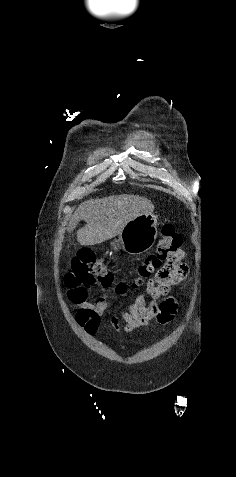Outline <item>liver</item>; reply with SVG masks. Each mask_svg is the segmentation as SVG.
<instances>
[{
	"mask_svg": "<svg viewBox=\"0 0 236 477\" xmlns=\"http://www.w3.org/2000/svg\"><path fill=\"white\" fill-rule=\"evenodd\" d=\"M153 210L152 202L138 195L90 199L78 206L67 230L72 232L84 220L86 225L77 231V240L81 245H95L119 235L129 221Z\"/></svg>",
	"mask_w": 236,
	"mask_h": 477,
	"instance_id": "obj_1",
	"label": "liver"
}]
</instances>
